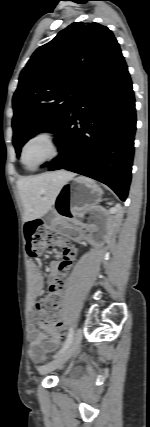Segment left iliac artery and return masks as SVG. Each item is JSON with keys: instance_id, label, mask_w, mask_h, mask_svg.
Listing matches in <instances>:
<instances>
[{"instance_id": "obj_1", "label": "left iliac artery", "mask_w": 150, "mask_h": 427, "mask_svg": "<svg viewBox=\"0 0 150 427\" xmlns=\"http://www.w3.org/2000/svg\"><path fill=\"white\" fill-rule=\"evenodd\" d=\"M73 336H74V329H73V327H71V328L69 329L68 336H67L66 341H65V342H64V344H63V347L60 349V351L58 352V354H57V355H59V354L63 353L64 351H66V350L69 348V346H70V345H71V343H72ZM57 355H55V356H57Z\"/></svg>"}]
</instances>
